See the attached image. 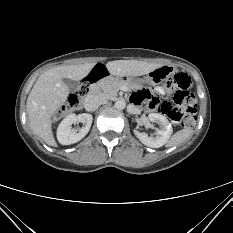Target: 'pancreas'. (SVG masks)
I'll return each mask as SVG.
<instances>
[{
    "instance_id": "obj_1",
    "label": "pancreas",
    "mask_w": 233,
    "mask_h": 233,
    "mask_svg": "<svg viewBox=\"0 0 233 233\" xmlns=\"http://www.w3.org/2000/svg\"><path fill=\"white\" fill-rule=\"evenodd\" d=\"M124 84L119 80L104 79L99 83L100 92L106 98H113Z\"/></svg>"
}]
</instances>
